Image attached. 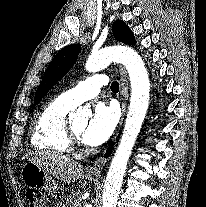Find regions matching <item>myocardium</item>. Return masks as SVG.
I'll return each mask as SVG.
<instances>
[{"instance_id":"myocardium-1","label":"myocardium","mask_w":206,"mask_h":207,"mask_svg":"<svg viewBox=\"0 0 206 207\" xmlns=\"http://www.w3.org/2000/svg\"><path fill=\"white\" fill-rule=\"evenodd\" d=\"M66 135L72 148L78 147L82 144L81 137L77 133L74 132L70 124H67Z\"/></svg>"}]
</instances>
